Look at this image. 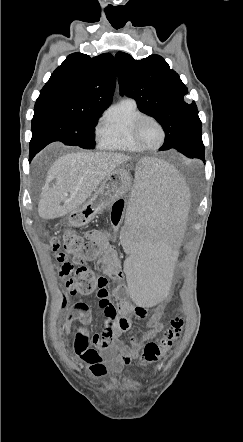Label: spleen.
Here are the masks:
<instances>
[{
	"label": "spleen",
	"mask_w": 243,
	"mask_h": 442,
	"mask_svg": "<svg viewBox=\"0 0 243 442\" xmlns=\"http://www.w3.org/2000/svg\"><path fill=\"white\" fill-rule=\"evenodd\" d=\"M130 185L127 217L121 235L126 257L122 261L128 280L126 296L135 307H159L171 291L174 263L184 242L189 193L183 172L169 163L145 158L136 163Z\"/></svg>",
	"instance_id": "1"
}]
</instances>
